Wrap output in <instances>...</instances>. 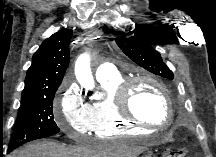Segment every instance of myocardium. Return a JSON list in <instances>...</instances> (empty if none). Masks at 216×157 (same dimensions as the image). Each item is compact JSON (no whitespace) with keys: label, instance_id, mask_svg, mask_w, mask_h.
<instances>
[{"label":"myocardium","instance_id":"1","mask_svg":"<svg viewBox=\"0 0 216 157\" xmlns=\"http://www.w3.org/2000/svg\"><path fill=\"white\" fill-rule=\"evenodd\" d=\"M142 82H148L159 89L163 99L165 101V107L167 112V118L163 124H154L152 122L143 120L139 118L132 110L131 100L134 88ZM116 103L119 115L129 121L130 123L145 128L163 129L166 128L172 121L173 110L171 105L170 96L167 88L157 79L146 76L139 75L134 77H129L124 80L116 90Z\"/></svg>","mask_w":216,"mask_h":157}]
</instances>
